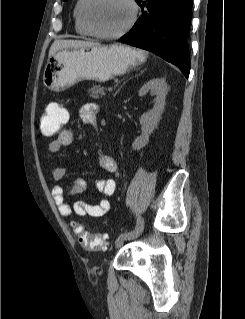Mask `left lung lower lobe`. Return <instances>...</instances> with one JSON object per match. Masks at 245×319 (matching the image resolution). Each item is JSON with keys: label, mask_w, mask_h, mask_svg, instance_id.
I'll return each instance as SVG.
<instances>
[{"label": "left lung lower lobe", "mask_w": 245, "mask_h": 319, "mask_svg": "<svg viewBox=\"0 0 245 319\" xmlns=\"http://www.w3.org/2000/svg\"><path fill=\"white\" fill-rule=\"evenodd\" d=\"M143 9L121 43L146 49L176 65L188 77L190 71L189 34L193 0H136Z\"/></svg>", "instance_id": "0a47b994"}]
</instances>
